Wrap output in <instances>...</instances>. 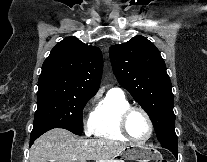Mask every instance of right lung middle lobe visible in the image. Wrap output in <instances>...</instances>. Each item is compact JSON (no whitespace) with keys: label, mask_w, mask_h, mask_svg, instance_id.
Instances as JSON below:
<instances>
[{"label":"right lung middle lobe","mask_w":207,"mask_h":162,"mask_svg":"<svg viewBox=\"0 0 207 162\" xmlns=\"http://www.w3.org/2000/svg\"><path fill=\"white\" fill-rule=\"evenodd\" d=\"M91 97L54 88L38 89L32 131L42 127L64 128L80 135L83 108Z\"/></svg>","instance_id":"right-lung-middle-lobe-1"}]
</instances>
